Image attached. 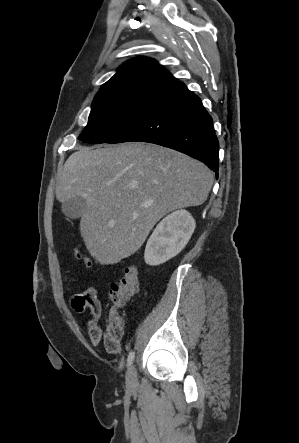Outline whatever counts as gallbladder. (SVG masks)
Returning <instances> with one entry per match:
<instances>
[{
    "instance_id": "bac80fb5",
    "label": "gallbladder",
    "mask_w": 299,
    "mask_h": 443,
    "mask_svg": "<svg viewBox=\"0 0 299 443\" xmlns=\"http://www.w3.org/2000/svg\"><path fill=\"white\" fill-rule=\"evenodd\" d=\"M87 199L82 196L72 197L62 203L61 209L65 216L71 219H78L87 210Z\"/></svg>"
}]
</instances>
